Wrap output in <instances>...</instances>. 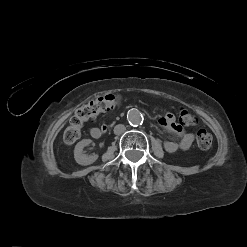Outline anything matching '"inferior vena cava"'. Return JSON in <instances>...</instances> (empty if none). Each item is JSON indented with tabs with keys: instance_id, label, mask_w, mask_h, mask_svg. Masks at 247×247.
<instances>
[{
	"instance_id": "obj_1",
	"label": "inferior vena cava",
	"mask_w": 247,
	"mask_h": 247,
	"mask_svg": "<svg viewBox=\"0 0 247 247\" xmlns=\"http://www.w3.org/2000/svg\"><path fill=\"white\" fill-rule=\"evenodd\" d=\"M126 131V127L122 124H118L114 127V134L121 135Z\"/></svg>"
}]
</instances>
